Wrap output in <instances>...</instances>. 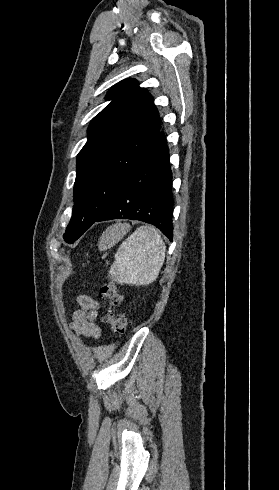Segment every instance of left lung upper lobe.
Instances as JSON below:
<instances>
[{
    "label": "left lung upper lobe",
    "instance_id": "left-lung-upper-lobe-1",
    "mask_svg": "<svg viewBox=\"0 0 279 490\" xmlns=\"http://www.w3.org/2000/svg\"><path fill=\"white\" fill-rule=\"evenodd\" d=\"M112 100L91 121L88 141L77 156L73 215L64 240L76 241L111 206L120 186L160 132L153 97L126 79L108 92Z\"/></svg>",
    "mask_w": 279,
    "mask_h": 490
}]
</instances>
